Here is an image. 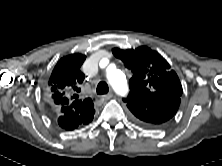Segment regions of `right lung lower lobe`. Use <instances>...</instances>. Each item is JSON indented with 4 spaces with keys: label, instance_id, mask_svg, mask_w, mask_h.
Listing matches in <instances>:
<instances>
[{
    "label": "right lung lower lobe",
    "instance_id": "right-lung-lower-lobe-1",
    "mask_svg": "<svg viewBox=\"0 0 222 166\" xmlns=\"http://www.w3.org/2000/svg\"><path fill=\"white\" fill-rule=\"evenodd\" d=\"M57 121H58L59 126L62 127L65 130H73V129L77 128L80 125L88 124V123H86V124H79L77 122H74V121L70 120L68 118V116H65V115L58 116Z\"/></svg>",
    "mask_w": 222,
    "mask_h": 166
}]
</instances>
